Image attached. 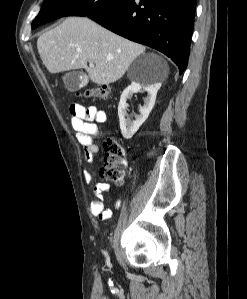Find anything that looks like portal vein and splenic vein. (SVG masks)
I'll return each mask as SVG.
<instances>
[{"instance_id": "portal-vein-and-splenic-vein-1", "label": "portal vein and splenic vein", "mask_w": 247, "mask_h": 299, "mask_svg": "<svg viewBox=\"0 0 247 299\" xmlns=\"http://www.w3.org/2000/svg\"><path fill=\"white\" fill-rule=\"evenodd\" d=\"M90 67H94V63L92 61L89 62Z\"/></svg>"}]
</instances>
